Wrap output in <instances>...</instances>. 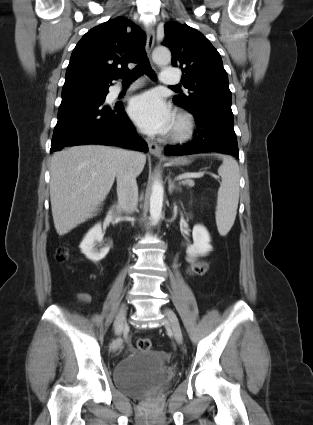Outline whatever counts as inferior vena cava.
Instances as JSON below:
<instances>
[{"mask_svg":"<svg viewBox=\"0 0 313 425\" xmlns=\"http://www.w3.org/2000/svg\"><path fill=\"white\" fill-rule=\"evenodd\" d=\"M137 153L124 151L117 169L118 205L125 213H133L138 204V186L134 163Z\"/></svg>","mask_w":313,"mask_h":425,"instance_id":"inferior-vena-cava-1","label":"inferior vena cava"}]
</instances>
